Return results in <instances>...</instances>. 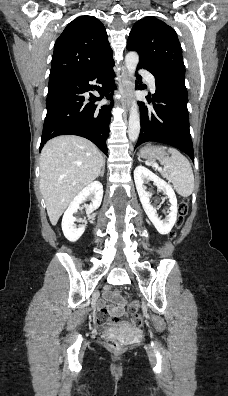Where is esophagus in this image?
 Returning <instances> with one entry per match:
<instances>
[{
	"mask_svg": "<svg viewBox=\"0 0 228 396\" xmlns=\"http://www.w3.org/2000/svg\"><path fill=\"white\" fill-rule=\"evenodd\" d=\"M122 105L125 107L126 111L129 110L131 103V87L128 72L123 70L122 72Z\"/></svg>",
	"mask_w": 228,
	"mask_h": 396,
	"instance_id": "obj_1",
	"label": "esophagus"
}]
</instances>
